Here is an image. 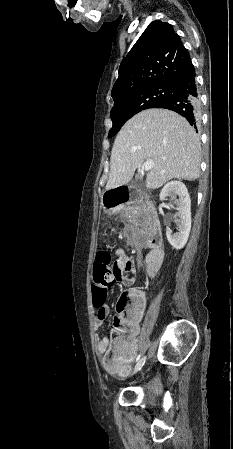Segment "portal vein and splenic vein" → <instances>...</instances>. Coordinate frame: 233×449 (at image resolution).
Segmentation results:
<instances>
[{
  "mask_svg": "<svg viewBox=\"0 0 233 449\" xmlns=\"http://www.w3.org/2000/svg\"><path fill=\"white\" fill-rule=\"evenodd\" d=\"M153 166H154L153 161L148 160V161H146V162L143 164L142 169H143L144 171H149L150 169L153 168Z\"/></svg>",
  "mask_w": 233,
  "mask_h": 449,
  "instance_id": "18ae733b",
  "label": "portal vein and splenic vein"
}]
</instances>
